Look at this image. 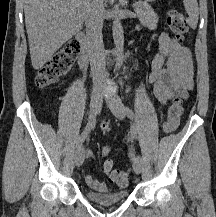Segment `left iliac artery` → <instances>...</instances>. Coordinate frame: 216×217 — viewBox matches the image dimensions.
I'll return each instance as SVG.
<instances>
[{"instance_id": "left-iliac-artery-1", "label": "left iliac artery", "mask_w": 216, "mask_h": 217, "mask_svg": "<svg viewBox=\"0 0 216 217\" xmlns=\"http://www.w3.org/2000/svg\"><path fill=\"white\" fill-rule=\"evenodd\" d=\"M125 111H126V113H127V115H128L129 118H131L132 120L135 119L134 113H133V111L129 107H125ZM136 137H137V127L134 124L133 127H132V129H131V142L132 143L136 139ZM129 156L133 160L137 158L133 145H131V148L129 150Z\"/></svg>"}]
</instances>
